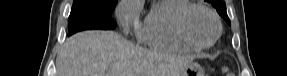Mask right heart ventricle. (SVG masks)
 Returning <instances> with one entry per match:
<instances>
[{
	"label": "right heart ventricle",
	"instance_id": "right-heart-ventricle-1",
	"mask_svg": "<svg viewBox=\"0 0 287 76\" xmlns=\"http://www.w3.org/2000/svg\"><path fill=\"white\" fill-rule=\"evenodd\" d=\"M189 4V0H161L156 2L137 30L139 42L159 51H192L194 48L182 40L176 27L179 12Z\"/></svg>",
	"mask_w": 287,
	"mask_h": 76
}]
</instances>
